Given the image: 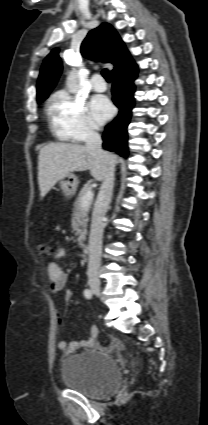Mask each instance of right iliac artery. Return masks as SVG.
Masks as SVG:
<instances>
[{"instance_id":"82829eb1","label":"right iliac artery","mask_w":208,"mask_h":425,"mask_svg":"<svg viewBox=\"0 0 208 425\" xmlns=\"http://www.w3.org/2000/svg\"><path fill=\"white\" fill-rule=\"evenodd\" d=\"M84 296H85V298H87V299H91V298H92V291H91V290H89V289H85V290H84Z\"/></svg>"}]
</instances>
